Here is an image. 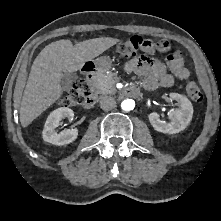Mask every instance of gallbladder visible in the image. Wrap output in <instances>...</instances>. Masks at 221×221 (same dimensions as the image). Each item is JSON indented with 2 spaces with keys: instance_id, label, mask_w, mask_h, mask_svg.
<instances>
[{
  "instance_id": "1",
  "label": "gallbladder",
  "mask_w": 221,
  "mask_h": 221,
  "mask_svg": "<svg viewBox=\"0 0 221 221\" xmlns=\"http://www.w3.org/2000/svg\"><path fill=\"white\" fill-rule=\"evenodd\" d=\"M78 76L73 72H63L61 77V87L63 90H69L72 87L73 82L77 80Z\"/></svg>"
}]
</instances>
